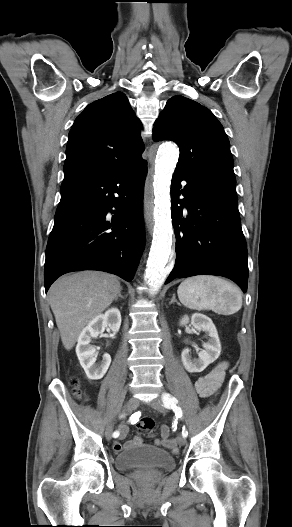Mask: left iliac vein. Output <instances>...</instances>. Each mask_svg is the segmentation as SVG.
I'll use <instances>...</instances> for the list:
<instances>
[{
	"label": "left iliac vein",
	"instance_id": "obj_1",
	"mask_svg": "<svg viewBox=\"0 0 292 527\" xmlns=\"http://www.w3.org/2000/svg\"><path fill=\"white\" fill-rule=\"evenodd\" d=\"M149 404H150V406L152 408H154L158 412H161V413H165L166 412V409H165L162 401L160 399H158V398L153 399ZM185 443H186L185 437L179 436L178 437V444L182 446V445H185Z\"/></svg>",
	"mask_w": 292,
	"mask_h": 527
}]
</instances>
